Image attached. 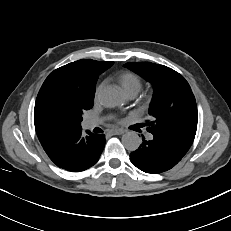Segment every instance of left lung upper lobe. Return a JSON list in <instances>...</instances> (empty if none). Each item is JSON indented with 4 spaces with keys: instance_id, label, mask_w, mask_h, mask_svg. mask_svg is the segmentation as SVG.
I'll use <instances>...</instances> for the list:
<instances>
[{
    "instance_id": "5c2ea615",
    "label": "left lung upper lobe",
    "mask_w": 231,
    "mask_h": 231,
    "mask_svg": "<svg viewBox=\"0 0 231 231\" xmlns=\"http://www.w3.org/2000/svg\"><path fill=\"white\" fill-rule=\"evenodd\" d=\"M128 69L150 81L154 87L147 123L151 133L193 142L197 130V105L185 78L164 65L150 62H128Z\"/></svg>"
}]
</instances>
